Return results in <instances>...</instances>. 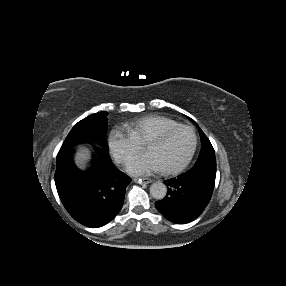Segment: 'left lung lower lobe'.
I'll list each match as a JSON object with an SVG mask.
<instances>
[{
    "label": "left lung lower lobe",
    "instance_id": "0a47b994",
    "mask_svg": "<svg viewBox=\"0 0 286 286\" xmlns=\"http://www.w3.org/2000/svg\"><path fill=\"white\" fill-rule=\"evenodd\" d=\"M216 160L193 166L177 178L164 181L166 196L155 203L169 221L184 224L196 219L209 203L215 184Z\"/></svg>",
    "mask_w": 286,
    "mask_h": 286
}]
</instances>
